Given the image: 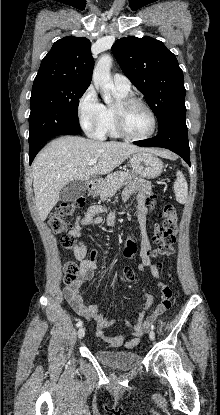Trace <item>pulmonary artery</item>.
Wrapping results in <instances>:
<instances>
[{
  "label": "pulmonary artery",
  "instance_id": "pulmonary-artery-1",
  "mask_svg": "<svg viewBox=\"0 0 220 415\" xmlns=\"http://www.w3.org/2000/svg\"><path fill=\"white\" fill-rule=\"evenodd\" d=\"M113 83L114 88L117 92H120L122 94H128V92L130 91L131 83L129 79L124 75L114 74Z\"/></svg>",
  "mask_w": 220,
  "mask_h": 415
}]
</instances>
